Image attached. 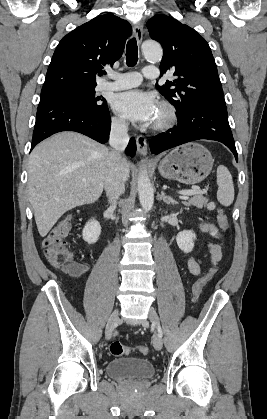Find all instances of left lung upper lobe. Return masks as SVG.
I'll return each mask as SVG.
<instances>
[{
	"mask_svg": "<svg viewBox=\"0 0 267 419\" xmlns=\"http://www.w3.org/2000/svg\"><path fill=\"white\" fill-rule=\"evenodd\" d=\"M147 28L164 50L161 74L173 71L176 76L156 87L175 107L177 117L197 107L226 106L215 60L201 35L163 14L152 17Z\"/></svg>",
	"mask_w": 267,
	"mask_h": 419,
	"instance_id": "5c2ea615",
	"label": "left lung upper lobe"
}]
</instances>
